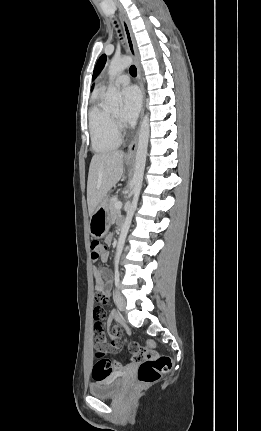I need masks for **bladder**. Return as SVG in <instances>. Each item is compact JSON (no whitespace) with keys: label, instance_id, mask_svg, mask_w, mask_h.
I'll return each mask as SVG.
<instances>
[{"label":"bladder","instance_id":"1","mask_svg":"<svg viewBox=\"0 0 261 431\" xmlns=\"http://www.w3.org/2000/svg\"><path fill=\"white\" fill-rule=\"evenodd\" d=\"M124 383L123 377L99 378L89 385V393L98 398H112L121 392Z\"/></svg>","mask_w":261,"mask_h":431}]
</instances>
